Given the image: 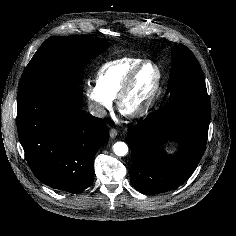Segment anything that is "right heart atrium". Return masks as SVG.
<instances>
[{
  "mask_svg": "<svg viewBox=\"0 0 236 236\" xmlns=\"http://www.w3.org/2000/svg\"><path fill=\"white\" fill-rule=\"evenodd\" d=\"M85 96L91 106L95 116L103 117L112 109L113 99H111L97 83H88L85 89Z\"/></svg>",
  "mask_w": 236,
  "mask_h": 236,
  "instance_id": "right-heart-atrium-1",
  "label": "right heart atrium"
}]
</instances>
